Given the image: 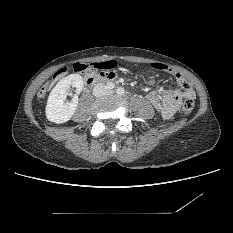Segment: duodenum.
I'll use <instances>...</instances> for the list:
<instances>
[{
  "mask_svg": "<svg viewBox=\"0 0 233 233\" xmlns=\"http://www.w3.org/2000/svg\"><path fill=\"white\" fill-rule=\"evenodd\" d=\"M109 82L111 81L110 76L107 73H97L90 74L85 78V82L87 85H93L97 82Z\"/></svg>",
  "mask_w": 233,
  "mask_h": 233,
  "instance_id": "410a0bca",
  "label": "duodenum"
}]
</instances>
